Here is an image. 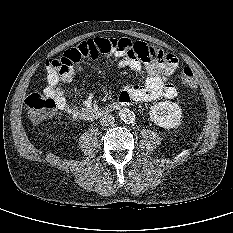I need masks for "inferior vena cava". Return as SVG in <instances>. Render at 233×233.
<instances>
[{"mask_svg":"<svg viewBox=\"0 0 233 233\" xmlns=\"http://www.w3.org/2000/svg\"><path fill=\"white\" fill-rule=\"evenodd\" d=\"M114 122H115V118L110 114L103 115L100 118V124L102 126L112 125V124H114Z\"/></svg>","mask_w":233,"mask_h":233,"instance_id":"inferior-vena-cava-1","label":"inferior vena cava"}]
</instances>
